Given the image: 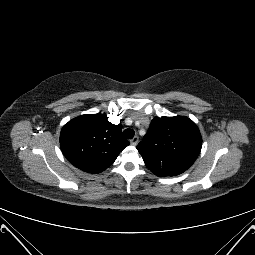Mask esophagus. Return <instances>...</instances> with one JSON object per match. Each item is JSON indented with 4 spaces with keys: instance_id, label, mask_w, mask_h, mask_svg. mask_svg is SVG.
Segmentation results:
<instances>
[{
    "instance_id": "obj_1",
    "label": "esophagus",
    "mask_w": 255,
    "mask_h": 255,
    "mask_svg": "<svg viewBox=\"0 0 255 255\" xmlns=\"http://www.w3.org/2000/svg\"><path fill=\"white\" fill-rule=\"evenodd\" d=\"M138 142H139L138 136H135V137H133V138L130 140V143H131V145H133V146H136V145L138 144Z\"/></svg>"
}]
</instances>
